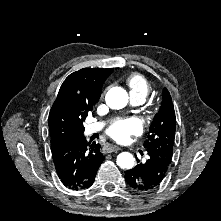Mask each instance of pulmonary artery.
Returning <instances> with one entry per match:
<instances>
[{
    "label": "pulmonary artery",
    "instance_id": "obj_1",
    "mask_svg": "<svg viewBox=\"0 0 221 221\" xmlns=\"http://www.w3.org/2000/svg\"><path fill=\"white\" fill-rule=\"evenodd\" d=\"M130 101L135 106H139L144 103V99H142L141 97H137V96H130ZM103 125H104L103 122H95L93 124H90L87 128V134H91V133L99 131L103 127Z\"/></svg>",
    "mask_w": 221,
    "mask_h": 221
}]
</instances>
